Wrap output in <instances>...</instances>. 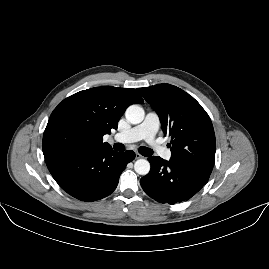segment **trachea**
I'll return each instance as SVG.
<instances>
[{"mask_svg": "<svg viewBox=\"0 0 269 269\" xmlns=\"http://www.w3.org/2000/svg\"><path fill=\"white\" fill-rule=\"evenodd\" d=\"M114 149L117 150V151H124L125 150V147L123 144L121 143H116L114 145ZM139 153L143 156H151L153 154V150L152 149H149L147 147H144V146H141L139 148Z\"/></svg>", "mask_w": 269, "mask_h": 269, "instance_id": "obj_1", "label": "trachea"}]
</instances>
